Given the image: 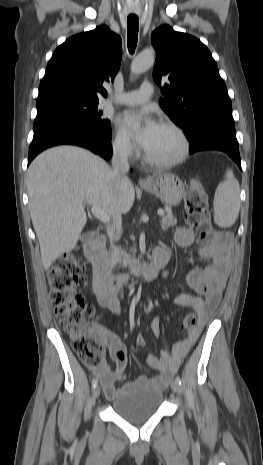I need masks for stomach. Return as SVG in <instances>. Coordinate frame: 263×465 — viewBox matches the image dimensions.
Here are the masks:
<instances>
[{"instance_id": "0dacf381", "label": "stomach", "mask_w": 263, "mask_h": 465, "mask_svg": "<svg viewBox=\"0 0 263 465\" xmlns=\"http://www.w3.org/2000/svg\"><path fill=\"white\" fill-rule=\"evenodd\" d=\"M143 189L156 195L162 202L170 206L178 205L184 194L183 182L172 173H163L152 177L151 184L144 186Z\"/></svg>"}]
</instances>
